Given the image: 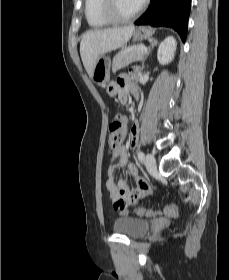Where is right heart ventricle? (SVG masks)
I'll return each mask as SVG.
<instances>
[{"mask_svg": "<svg viewBox=\"0 0 229 280\" xmlns=\"http://www.w3.org/2000/svg\"><path fill=\"white\" fill-rule=\"evenodd\" d=\"M102 0H85L84 14L88 25L92 28L102 29L111 25L109 21L101 15Z\"/></svg>", "mask_w": 229, "mask_h": 280, "instance_id": "e07e8e85", "label": "right heart ventricle"}]
</instances>
